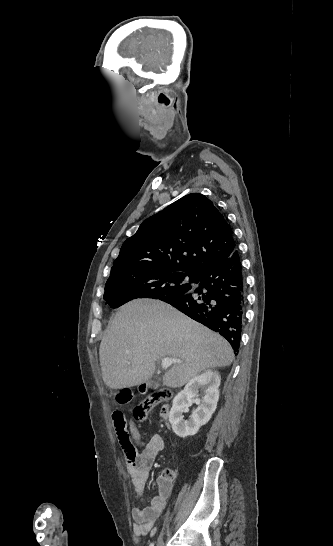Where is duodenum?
I'll list each match as a JSON object with an SVG mask.
<instances>
[{"instance_id": "duodenum-1", "label": "duodenum", "mask_w": 333, "mask_h": 546, "mask_svg": "<svg viewBox=\"0 0 333 546\" xmlns=\"http://www.w3.org/2000/svg\"><path fill=\"white\" fill-rule=\"evenodd\" d=\"M168 415H169V408H168V406H164V407L161 409V417H162L164 420H167Z\"/></svg>"}]
</instances>
